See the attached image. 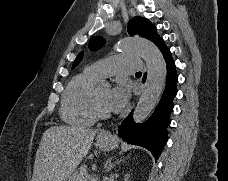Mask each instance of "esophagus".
I'll list each match as a JSON object with an SVG mask.
<instances>
[{"label": "esophagus", "mask_w": 228, "mask_h": 181, "mask_svg": "<svg viewBox=\"0 0 228 181\" xmlns=\"http://www.w3.org/2000/svg\"><path fill=\"white\" fill-rule=\"evenodd\" d=\"M144 71L146 72L147 69L145 68ZM113 134H114V131H112V132H110V131H103V132H101V135L102 136H111Z\"/></svg>", "instance_id": "esophagus-1"}]
</instances>
